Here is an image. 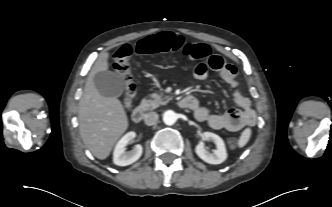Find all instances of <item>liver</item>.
<instances>
[{"label": "liver", "mask_w": 332, "mask_h": 207, "mask_svg": "<svg viewBox=\"0 0 332 207\" xmlns=\"http://www.w3.org/2000/svg\"><path fill=\"white\" fill-rule=\"evenodd\" d=\"M109 53H102L94 63L79 102V129L83 143L98 159H106L114 144L128 128V118L122 103L115 97H105L96 89L93 78L109 67Z\"/></svg>", "instance_id": "1"}]
</instances>
